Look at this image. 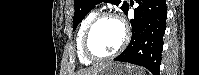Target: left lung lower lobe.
<instances>
[{
    "label": "left lung lower lobe",
    "mask_w": 199,
    "mask_h": 75,
    "mask_svg": "<svg viewBox=\"0 0 199 75\" xmlns=\"http://www.w3.org/2000/svg\"><path fill=\"white\" fill-rule=\"evenodd\" d=\"M138 3L131 20V41L114 60L143 66L159 75L166 29V0H138Z\"/></svg>",
    "instance_id": "1"
}]
</instances>
